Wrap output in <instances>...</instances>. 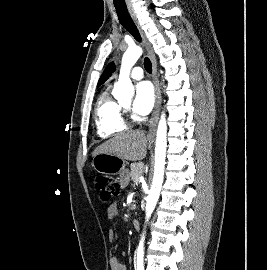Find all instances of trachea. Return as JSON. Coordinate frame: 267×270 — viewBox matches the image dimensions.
Wrapping results in <instances>:
<instances>
[{
	"mask_svg": "<svg viewBox=\"0 0 267 270\" xmlns=\"http://www.w3.org/2000/svg\"><path fill=\"white\" fill-rule=\"evenodd\" d=\"M118 15V19L122 26L128 30L137 41H141L139 31L130 17L127 7H115ZM144 67L148 73L152 72V63L148 58L144 59Z\"/></svg>",
	"mask_w": 267,
	"mask_h": 270,
	"instance_id": "1",
	"label": "trachea"
}]
</instances>
